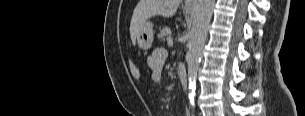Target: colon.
Listing matches in <instances>:
<instances>
[{"mask_svg":"<svg viewBox=\"0 0 305 116\" xmlns=\"http://www.w3.org/2000/svg\"><path fill=\"white\" fill-rule=\"evenodd\" d=\"M129 70H130L131 75L135 79H140V77H141L140 71L135 63H133V62L129 63Z\"/></svg>","mask_w":305,"mask_h":116,"instance_id":"1","label":"colon"}]
</instances>
